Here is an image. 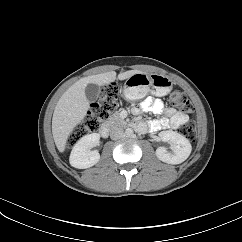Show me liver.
<instances>
[{
    "label": "liver",
    "instance_id": "obj_1",
    "mask_svg": "<svg viewBox=\"0 0 242 242\" xmlns=\"http://www.w3.org/2000/svg\"><path fill=\"white\" fill-rule=\"evenodd\" d=\"M139 72L141 71L129 70L118 74V79L125 80ZM115 79V71L84 77L69 87L61 96L52 118L53 138L60 152H64L70 133L84 119L89 109V102L85 95L86 86L88 84L102 86L115 81Z\"/></svg>",
    "mask_w": 242,
    "mask_h": 242
}]
</instances>
